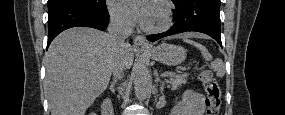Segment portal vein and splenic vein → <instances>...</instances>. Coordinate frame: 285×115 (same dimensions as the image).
Wrapping results in <instances>:
<instances>
[{
	"mask_svg": "<svg viewBox=\"0 0 285 115\" xmlns=\"http://www.w3.org/2000/svg\"><path fill=\"white\" fill-rule=\"evenodd\" d=\"M174 72H170V71H165L161 74L162 77H167V76H172L174 75Z\"/></svg>",
	"mask_w": 285,
	"mask_h": 115,
	"instance_id": "portal-vein-and-splenic-vein-1",
	"label": "portal vein and splenic vein"
}]
</instances>
